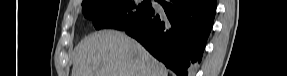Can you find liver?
I'll list each match as a JSON object with an SVG mask.
<instances>
[{
    "instance_id": "liver-1",
    "label": "liver",
    "mask_w": 287,
    "mask_h": 76,
    "mask_svg": "<svg viewBox=\"0 0 287 76\" xmlns=\"http://www.w3.org/2000/svg\"><path fill=\"white\" fill-rule=\"evenodd\" d=\"M165 66L136 40L118 31H99L74 49L71 76H168Z\"/></svg>"
}]
</instances>
